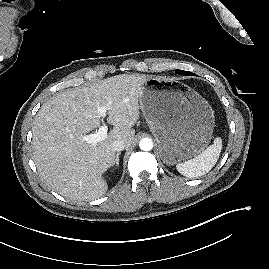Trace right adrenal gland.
<instances>
[{"mask_svg": "<svg viewBox=\"0 0 269 269\" xmlns=\"http://www.w3.org/2000/svg\"><path fill=\"white\" fill-rule=\"evenodd\" d=\"M120 154H121V152H118V153L116 154L115 162H114L113 165H112V166L116 165V168L119 167V156H120Z\"/></svg>", "mask_w": 269, "mask_h": 269, "instance_id": "obj_1", "label": "right adrenal gland"}]
</instances>
